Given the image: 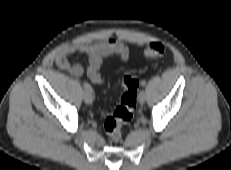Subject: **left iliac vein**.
Returning a JSON list of instances; mask_svg holds the SVG:
<instances>
[{
    "instance_id": "left-iliac-vein-1",
    "label": "left iliac vein",
    "mask_w": 231,
    "mask_h": 170,
    "mask_svg": "<svg viewBox=\"0 0 231 170\" xmlns=\"http://www.w3.org/2000/svg\"><path fill=\"white\" fill-rule=\"evenodd\" d=\"M145 100H146V93H145L144 91H141V92L139 93V102H140L141 104H143V103L145 102Z\"/></svg>"
}]
</instances>
